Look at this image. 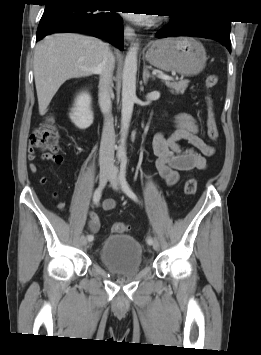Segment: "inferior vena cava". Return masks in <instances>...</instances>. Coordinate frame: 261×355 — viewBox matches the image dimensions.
Listing matches in <instances>:
<instances>
[{
  "label": "inferior vena cava",
  "mask_w": 261,
  "mask_h": 355,
  "mask_svg": "<svg viewBox=\"0 0 261 355\" xmlns=\"http://www.w3.org/2000/svg\"><path fill=\"white\" fill-rule=\"evenodd\" d=\"M115 58L110 50H108L98 67L100 75L99 81V105L104 115V126L100 144L99 164L100 168H114V148H115V132L113 118L111 115V94L110 86L112 85V76L114 70Z\"/></svg>",
  "instance_id": "1"
}]
</instances>
